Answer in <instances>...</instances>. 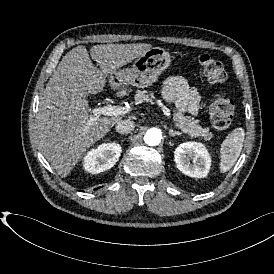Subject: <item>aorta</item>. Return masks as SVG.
I'll return each instance as SVG.
<instances>
[{"label":"aorta","mask_w":274,"mask_h":274,"mask_svg":"<svg viewBox=\"0 0 274 274\" xmlns=\"http://www.w3.org/2000/svg\"><path fill=\"white\" fill-rule=\"evenodd\" d=\"M162 132L159 128L152 127L145 133L144 141L149 146H156L161 142Z\"/></svg>","instance_id":"762f6f07"}]
</instances>
